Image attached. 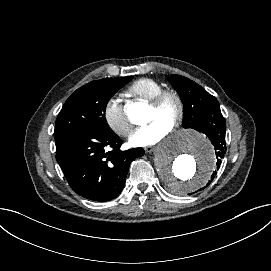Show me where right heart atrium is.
Wrapping results in <instances>:
<instances>
[{"label":"right heart atrium","instance_id":"d8ad5b80","mask_svg":"<svg viewBox=\"0 0 271 271\" xmlns=\"http://www.w3.org/2000/svg\"><path fill=\"white\" fill-rule=\"evenodd\" d=\"M103 118L111 130L119 136H127L131 130L130 120L122 105L121 94L110 95L103 105Z\"/></svg>","mask_w":271,"mask_h":271}]
</instances>
